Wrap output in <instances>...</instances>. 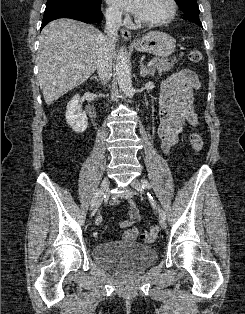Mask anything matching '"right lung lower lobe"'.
Returning a JSON list of instances; mask_svg holds the SVG:
<instances>
[{
	"label": "right lung lower lobe",
	"mask_w": 245,
	"mask_h": 314,
	"mask_svg": "<svg viewBox=\"0 0 245 314\" xmlns=\"http://www.w3.org/2000/svg\"><path fill=\"white\" fill-rule=\"evenodd\" d=\"M100 6H88L76 3H53L46 5L41 29L50 21L59 18H71L86 23H96L102 20L103 14Z\"/></svg>",
	"instance_id": "obj_1"
}]
</instances>
